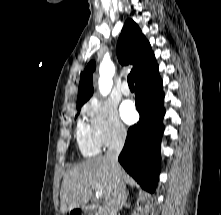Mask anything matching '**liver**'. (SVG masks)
<instances>
[{
    "mask_svg": "<svg viewBox=\"0 0 221 215\" xmlns=\"http://www.w3.org/2000/svg\"><path fill=\"white\" fill-rule=\"evenodd\" d=\"M124 182L127 180L122 171ZM115 180L106 156L89 159L69 169L63 178L60 192V211L62 214L85 206L92 196V190L101 189L99 195L104 203L111 197Z\"/></svg>",
    "mask_w": 221,
    "mask_h": 215,
    "instance_id": "obj_1",
    "label": "liver"
}]
</instances>
